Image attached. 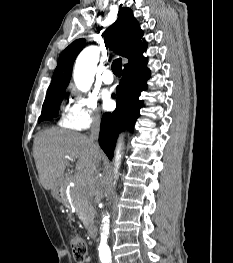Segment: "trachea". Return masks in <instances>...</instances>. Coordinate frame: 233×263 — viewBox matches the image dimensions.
I'll return each instance as SVG.
<instances>
[{"label": "trachea", "instance_id": "1", "mask_svg": "<svg viewBox=\"0 0 233 263\" xmlns=\"http://www.w3.org/2000/svg\"><path fill=\"white\" fill-rule=\"evenodd\" d=\"M121 70H122V60L121 58H118L114 60L112 63V71L116 76H121Z\"/></svg>", "mask_w": 233, "mask_h": 263}]
</instances>
